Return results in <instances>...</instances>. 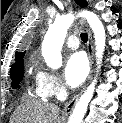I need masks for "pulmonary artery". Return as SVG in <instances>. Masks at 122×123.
I'll use <instances>...</instances> for the list:
<instances>
[{
  "mask_svg": "<svg viewBox=\"0 0 122 123\" xmlns=\"http://www.w3.org/2000/svg\"><path fill=\"white\" fill-rule=\"evenodd\" d=\"M66 45L70 49H77L79 47V40L76 36L71 35L68 37Z\"/></svg>",
  "mask_w": 122,
  "mask_h": 123,
  "instance_id": "1",
  "label": "pulmonary artery"
}]
</instances>
